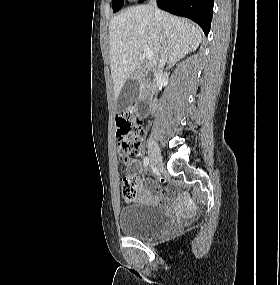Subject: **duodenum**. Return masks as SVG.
Masks as SVG:
<instances>
[{
    "mask_svg": "<svg viewBox=\"0 0 280 285\" xmlns=\"http://www.w3.org/2000/svg\"><path fill=\"white\" fill-rule=\"evenodd\" d=\"M151 82H147L144 87H143V91H142V98L140 101V106L142 107V112L141 114L144 117L148 116V112H149V101L151 99Z\"/></svg>",
    "mask_w": 280,
    "mask_h": 285,
    "instance_id": "410a0bca",
    "label": "duodenum"
}]
</instances>
